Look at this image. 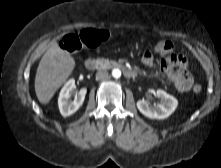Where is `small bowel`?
<instances>
[{
    "instance_id": "c3829d8e",
    "label": "small bowel",
    "mask_w": 221,
    "mask_h": 168,
    "mask_svg": "<svg viewBox=\"0 0 221 168\" xmlns=\"http://www.w3.org/2000/svg\"><path fill=\"white\" fill-rule=\"evenodd\" d=\"M142 63L149 67L153 65L154 58L150 51H146L143 54ZM161 71L173 82L177 91L186 92L191 89L193 79L188 72L186 59L179 53H170L163 59L161 62Z\"/></svg>"
}]
</instances>
